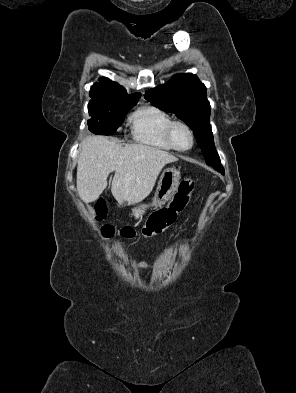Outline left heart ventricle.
I'll return each mask as SVG.
<instances>
[{
    "label": "left heart ventricle",
    "instance_id": "1",
    "mask_svg": "<svg viewBox=\"0 0 296 393\" xmlns=\"http://www.w3.org/2000/svg\"><path fill=\"white\" fill-rule=\"evenodd\" d=\"M174 140L178 147L180 148H187L191 144V136L188 130L183 126H177L174 129Z\"/></svg>",
    "mask_w": 296,
    "mask_h": 393
}]
</instances>
